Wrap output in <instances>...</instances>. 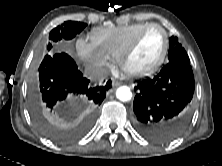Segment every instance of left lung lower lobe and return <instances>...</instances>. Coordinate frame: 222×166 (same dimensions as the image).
<instances>
[{"label":"left lung lower lobe","mask_w":222,"mask_h":166,"mask_svg":"<svg viewBox=\"0 0 222 166\" xmlns=\"http://www.w3.org/2000/svg\"><path fill=\"white\" fill-rule=\"evenodd\" d=\"M194 88L190 62L168 63L154 78L140 81L133 103L137 131L157 143L181 135L190 120Z\"/></svg>","instance_id":"0a47b994"}]
</instances>
